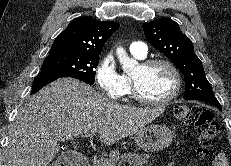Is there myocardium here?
<instances>
[{"mask_svg": "<svg viewBox=\"0 0 231 166\" xmlns=\"http://www.w3.org/2000/svg\"><path fill=\"white\" fill-rule=\"evenodd\" d=\"M154 65H163L167 67L172 73L174 79V87L170 92V94L167 97L159 100H152V99L145 98L141 95L136 80L134 79L133 76H131L130 80H131L132 95L134 99H136L138 102L142 104L149 105V106H164L171 103L179 94L182 87V77L176 65L170 60L165 58H151V59L143 60L139 63V67L143 69L150 68Z\"/></svg>", "mask_w": 231, "mask_h": 166, "instance_id": "myocardium-1", "label": "myocardium"}]
</instances>
